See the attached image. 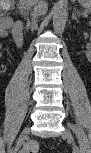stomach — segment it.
I'll list each match as a JSON object with an SVG mask.
<instances>
[{
  "label": "stomach",
  "mask_w": 91,
  "mask_h": 153,
  "mask_svg": "<svg viewBox=\"0 0 91 153\" xmlns=\"http://www.w3.org/2000/svg\"><path fill=\"white\" fill-rule=\"evenodd\" d=\"M81 5H83L86 9H90L91 1L90 0H80Z\"/></svg>",
  "instance_id": "obj_1"
}]
</instances>
